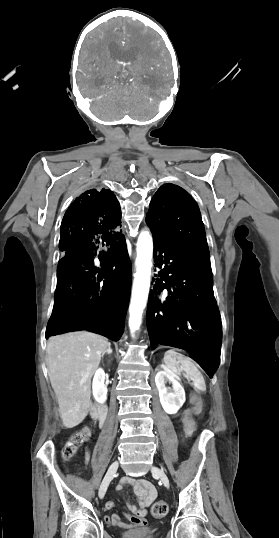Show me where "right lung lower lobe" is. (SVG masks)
<instances>
[{
  "mask_svg": "<svg viewBox=\"0 0 279 538\" xmlns=\"http://www.w3.org/2000/svg\"><path fill=\"white\" fill-rule=\"evenodd\" d=\"M59 248L62 259L46 337L96 330L118 340L132 276L120 204L112 191L92 189L74 200L61 223ZM97 255L100 262L94 260Z\"/></svg>",
  "mask_w": 279,
  "mask_h": 538,
  "instance_id": "right-lung-lower-lobe-1",
  "label": "right lung lower lobe"
}]
</instances>
